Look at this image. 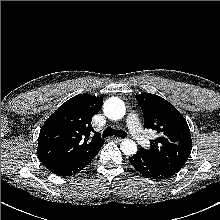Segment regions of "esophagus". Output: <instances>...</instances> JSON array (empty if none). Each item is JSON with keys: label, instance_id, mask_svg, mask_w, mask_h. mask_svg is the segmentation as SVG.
I'll return each mask as SVG.
<instances>
[{"label": "esophagus", "instance_id": "obj_1", "mask_svg": "<svg viewBox=\"0 0 220 220\" xmlns=\"http://www.w3.org/2000/svg\"><path fill=\"white\" fill-rule=\"evenodd\" d=\"M111 140L116 142V143H119L121 142L123 139L122 138H119V137H111Z\"/></svg>", "mask_w": 220, "mask_h": 220}]
</instances>
